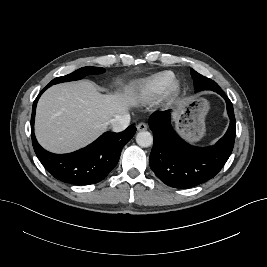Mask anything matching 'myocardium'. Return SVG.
Listing matches in <instances>:
<instances>
[{"mask_svg":"<svg viewBox=\"0 0 267 267\" xmlns=\"http://www.w3.org/2000/svg\"><path fill=\"white\" fill-rule=\"evenodd\" d=\"M180 91V84L177 80H174L166 89L165 96L167 97H172L175 96L176 94H178V92Z\"/></svg>","mask_w":267,"mask_h":267,"instance_id":"myocardium-1","label":"myocardium"}]
</instances>
